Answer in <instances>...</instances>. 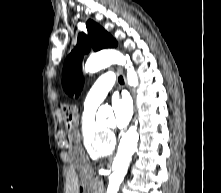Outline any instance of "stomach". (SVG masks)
Wrapping results in <instances>:
<instances>
[{
	"label": "stomach",
	"instance_id": "obj_1",
	"mask_svg": "<svg viewBox=\"0 0 221 193\" xmlns=\"http://www.w3.org/2000/svg\"><path fill=\"white\" fill-rule=\"evenodd\" d=\"M62 110V123L69 130H74L80 123V114L78 107L74 102H62L60 104ZM68 138H81V133H68ZM67 152L72 155L70 159V167H80V177H84L80 183L77 193H93L91 174H93V165L85 162L87 154H84L83 142H68Z\"/></svg>",
	"mask_w": 221,
	"mask_h": 193
}]
</instances>
